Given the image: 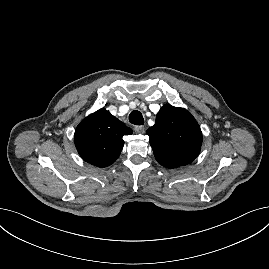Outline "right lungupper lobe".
Instances as JSON below:
<instances>
[{
  "label": "right lung upper lobe",
  "instance_id": "right-lung-upper-lobe-1",
  "mask_svg": "<svg viewBox=\"0 0 269 269\" xmlns=\"http://www.w3.org/2000/svg\"><path fill=\"white\" fill-rule=\"evenodd\" d=\"M132 129L102 108L77 126L74 141L83 160L98 167H107L117 160L123 146V136Z\"/></svg>",
  "mask_w": 269,
  "mask_h": 269
}]
</instances>
